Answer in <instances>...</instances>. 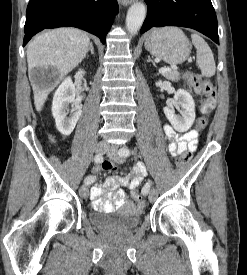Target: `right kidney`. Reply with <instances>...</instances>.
Masks as SVG:
<instances>
[{
	"instance_id": "ca27d5eb",
	"label": "right kidney",
	"mask_w": 247,
	"mask_h": 275,
	"mask_svg": "<svg viewBox=\"0 0 247 275\" xmlns=\"http://www.w3.org/2000/svg\"><path fill=\"white\" fill-rule=\"evenodd\" d=\"M85 72L79 70L77 75L82 76ZM76 89L71 77H67L55 91L52 102V114L58 131L68 136L74 130L82 112V105L75 99ZM71 104V114L67 117L68 107Z\"/></svg>"
}]
</instances>
